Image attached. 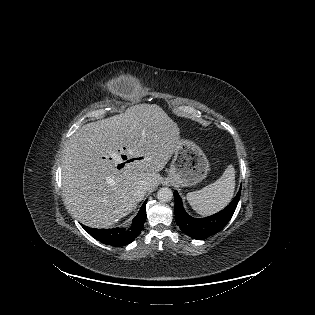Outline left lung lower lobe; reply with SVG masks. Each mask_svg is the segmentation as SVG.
I'll use <instances>...</instances> for the list:
<instances>
[{"label":"left lung lower lobe","mask_w":315,"mask_h":315,"mask_svg":"<svg viewBox=\"0 0 315 315\" xmlns=\"http://www.w3.org/2000/svg\"><path fill=\"white\" fill-rule=\"evenodd\" d=\"M241 187L232 202L220 212L206 218H193L188 215L178 192L174 191L175 219L180 229L193 239L203 240L219 232L229 222L240 199Z\"/></svg>","instance_id":"obj_1"}]
</instances>
